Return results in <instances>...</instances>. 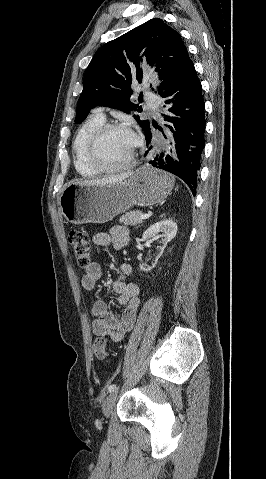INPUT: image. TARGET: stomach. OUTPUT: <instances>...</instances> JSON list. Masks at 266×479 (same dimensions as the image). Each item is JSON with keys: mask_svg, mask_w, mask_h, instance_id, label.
Masks as SVG:
<instances>
[{"mask_svg": "<svg viewBox=\"0 0 266 479\" xmlns=\"http://www.w3.org/2000/svg\"><path fill=\"white\" fill-rule=\"evenodd\" d=\"M173 184L168 173L141 167L127 180L116 183L69 184L60 196V208L69 223H105L134 205L151 206L163 201Z\"/></svg>", "mask_w": 266, "mask_h": 479, "instance_id": "obj_1", "label": "stomach"}]
</instances>
